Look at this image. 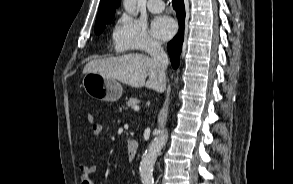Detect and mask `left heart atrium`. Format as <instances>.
<instances>
[{
	"label": "left heart atrium",
	"mask_w": 293,
	"mask_h": 184,
	"mask_svg": "<svg viewBox=\"0 0 293 184\" xmlns=\"http://www.w3.org/2000/svg\"><path fill=\"white\" fill-rule=\"evenodd\" d=\"M175 29L174 21L167 16L156 18L151 26L153 35L160 40L169 39L174 34Z\"/></svg>",
	"instance_id": "1"
}]
</instances>
